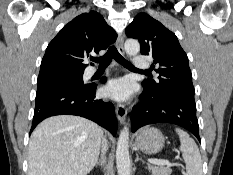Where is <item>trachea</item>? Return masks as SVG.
<instances>
[{
    "label": "trachea",
    "mask_w": 233,
    "mask_h": 175,
    "mask_svg": "<svg viewBox=\"0 0 233 175\" xmlns=\"http://www.w3.org/2000/svg\"><path fill=\"white\" fill-rule=\"evenodd\" d=\"M113 58L118 63H120L121 65H123L128 69L138 70L130 62H128L123 56L120 55V53L117 51L115 46H110L104 56L98 58H91V60L99 63V67H107ZM138 71H142V70H138ZM142 72L148 73V71H142Z\"/></svg>",
    "instance_id": "1"
}]
</instances>
